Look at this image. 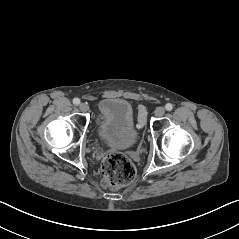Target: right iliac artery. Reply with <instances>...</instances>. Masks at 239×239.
Wrapping results in <instances>:
<instances>
[{
    "label": "right iliac artery",
    "mask_w": 239,
    "mask_h": 239,
    "mask_svg": "<svg viewBox=\"0 0 239 239\" xmlns=\"http://www.w3.org/2000/svg\"><path fill=\"white\" fill-rule=\"evenodd\" d=\"M73 104L74 105H79L80 104V100L78 98H74L73 99Z\"/></svg>",
    "instance_id": "82829eb1"
}]
</instances>
